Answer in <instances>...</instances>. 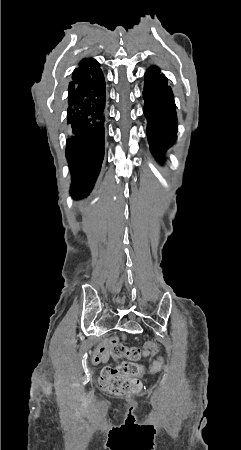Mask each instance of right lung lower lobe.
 I'll return each mask as SVG.
<instances>
[{
    "label": "right lung lower lobe",
    "instance_id": "1",
    "mask_svg": "<svg viewBox=\"0 0 241 450\" xmlns=\"http://www.w3.org/2000/svg\"><path fill=\"white\" fill-rule=\"evenodd\" d=\"M105 79L100 64L79 65L68 86L66 157L74 198L89 195L104 158Z\"/></svg>",
    "mask_w": 241,
    "mask_h": 450
}]
</instances>
